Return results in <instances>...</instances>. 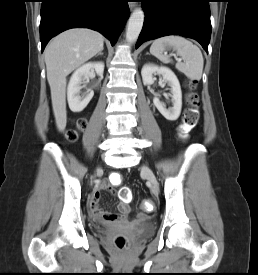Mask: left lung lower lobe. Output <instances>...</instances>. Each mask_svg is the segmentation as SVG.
Instances as JSON below:
<instances>
[{"label":"left lung lower lobe","instance_id":"1","mask_svg":"<svg viewBox=\"0 0 258 275\" xmlns=\"http://www.w3.org/2000/svg\"><path fill=\"white\" fill-rule=\"evenodd\" d=\"M145 22L136 48L143 42L167 35L198 41L208 52L211 35L209 0H145Z\"/></svg>","mask_w":258,"mask_h":275}]
</instances>
